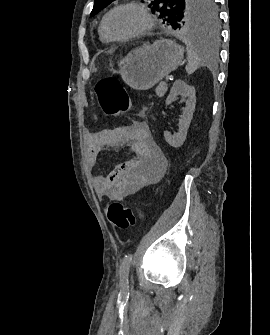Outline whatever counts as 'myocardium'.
Wrapping results in <instances>:
<instances>
[{
  "mask_svg": "<svg viewBox=\"0 0 270 335\" xmlns=\"http://www.w3.org/2000/svg\"><path fill=\"white\" fill-rule=\"evenodd\" d=\"M124 6H131L134 7L136 9H138L144 16L145 18V26L134 33L131 34H127L124 36H114L110 33V31L108 30L107 27V21L109 16L117 9L124 7ZM154 26V17L153 15L149 12V10L146 8V6L144 4H142L141 2H136V1H124L122 3H119L118 5L114 6L112 9H110L105 16L103 17L102 21H101V28L104 32V34L111 40H117V41H127V40H132L135 38H139L141 36H144L146 34H148L152 28ZM140 49H135L131 52H140ZM128 78V77H125Z\"/></svg>",
  "mask_w": 270,
  "mask_h": 335,
  "instance_id": "f54148a6",
  "label": "myocardium"
}]
</instances>
